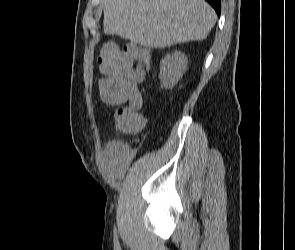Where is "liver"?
<instances>
[{
	"mask_svg": "<svg viewBox=\"0 0 295 250\" xmlns=\"http://www.w3.org/2000/svg\"><path fill=\"white\" fill-rule=\"evenodd\" d=\"M216 18L204 0H104L105 34L151 48L204 40Z\"/></svg>",
	"mask_w": 295,
	"mask_h": 250,
	"instance_id": "1",
	"label": "liver"
}]
</instances>
